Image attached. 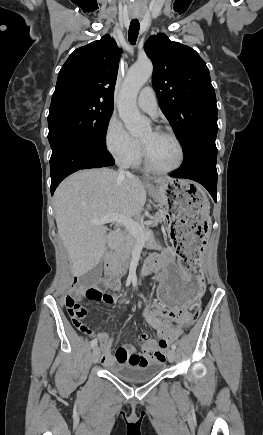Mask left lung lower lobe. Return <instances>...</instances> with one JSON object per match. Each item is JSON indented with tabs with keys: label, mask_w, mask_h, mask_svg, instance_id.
Wrapping results in <instances>:
<instances>
[{
	"label": "left lung lower lobe",
	"mask_w": 263,
	"mask_h": 435,
	"mask_svg": "<svg viewBox=\"0 0 263 435\" xmlns=\"http://www.w3.org/2000/svg\"><path fill=\"white\" fill-rule=\"evenodd\" d=\"M217 148L215 138L195 142L184 152L181 169L171 174L175 178H187L202 184L216 202L217 195Z\"/></svg>",
	"instance_id": "left-lung-lower-lobe-1"
}]
</instances>
